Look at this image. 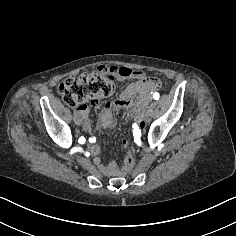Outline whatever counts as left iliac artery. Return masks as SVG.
I'll use <instances>...</instances> for the list:
<instances>
[{
  "label": "left iliac artery",
  "instance_id": "left-iliac-artery-1",
  "mask_svg": "<svg viewBox=\"0 0 236 236\" xmlns=\"http://www.w3.org/2000/svg\"><path fill=\"white\" fill-rule=\"evenodd\" d=\"M159 97H160V95H159L158 92H156V93L153 94V98H154L155 100H159Z\"/></svg>",
  "mask_w": 236,
  "mask_h": 236
}]
</instances>
